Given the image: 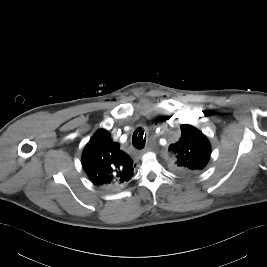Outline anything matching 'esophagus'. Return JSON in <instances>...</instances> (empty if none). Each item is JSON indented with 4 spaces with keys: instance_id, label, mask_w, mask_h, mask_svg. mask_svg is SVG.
Returning a JSON list of instances; mask_svg holds the SVG:
<instances>
[{
    "instance_id": "obj_1",
    "label": "esophagus",
    "mask_w": 267,
    "mask_h": 267,
    "mask_svg": "<svg viewBox=\"0 0 267 267\" xmlns=\"http://www.w3.org/2000/svg\"><path fill=\"white\" fill-rule=\"evenodd\" d=\"M144 152H145V150H142V151H141V153H144Z\"/></svg>"
}]
</instances>
